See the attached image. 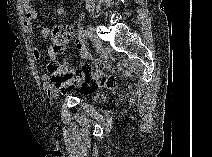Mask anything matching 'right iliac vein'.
Listing matches in <instances>:
<instances>
[{
  "mask_svg": "<svg viewBox=\"0 0 212 157\" xmlns=\"http://www.w3.org/2000/svg\"><path fill=\"white\" fill-rule=\"evenodd\" d=\"M87 31L90 34V38L94 42V46L96 48V51L99 53L101 51V49H102V43H101L100 39L95 35V33H94V27L90 25L88 27Z\"/></svg>",
  "mask_w": 212,
  "mask_h": 157,
  "instance_id": "obj_1",
  "label": "right iliac vein"
}]
</instances>
